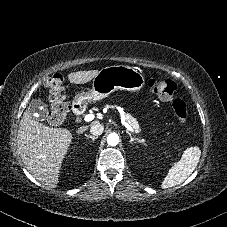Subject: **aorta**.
<instances>
[{"label": "aorta", "instance_id": "1", "mask_svg": "<svg viewBox=\"0 0 227 227\" xmlns=\"http://www.w3.org/2000/svg\"><path fill=\"white\" fill-rule=\"evenodd\" d=\"M107 143L110 146H116L119 143V136L116 133H111L107 137Z\"/></svg>", "mask_w": 227, "mask_h": 227}]
</instances>
